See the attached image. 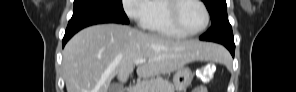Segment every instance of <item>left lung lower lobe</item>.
Instances as JSON below:
<instances>
[{
	"instance_id": "obj_1",
	"label": "left lung lower lobe",
	"mask_w": 296,
	"mask_h": 92,
	"mask_svg": "<svg viewBox=\"0 0 296 92\" xmlns=\"http://www.w3.org/2000/svg\"><path fill=\"white\" fill-rule=\"evenodd\" d=\"M201 40H204L203 37H200ZM223 45L230 51L232 56H234L235 44L234 43H223Z\"/></svg>"
}]
</instances>
